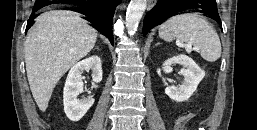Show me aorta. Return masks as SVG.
I'll return each mask as SVG.
<instances>
[{
	"instance_id": "762f6f07",
	"label": "aorta",
	"mask_w": 257,
	"mask_h": 130,
	"mask_svg": "<svg viewBox=\"0 0 257 130\" xmlns=\"http://www.w3.org/2000/svg\"><path fill=\"white\" fill-rule=\"evenodd\" d=\"M147 6V0H131L126 12V27L128 33L133 35L138 27V24L143 16Z\"/></svg>"
}]
</instances>
